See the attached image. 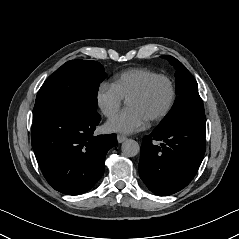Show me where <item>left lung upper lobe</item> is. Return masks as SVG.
Listing matches in <instances>:
<instances>
[{"label":"left lung upper lobe","mask_w":239,"mask_h":239,"mask_svg":"<svg viewBox=\"0 0 239 239\" xmlns=\"http://www.w3.org/2000/svg\"><path fill=\"white\" fill-rule=\"evenodd\" d=\"M167 59L176 68L177 97L169 113L155 129L166 130L182 120L188 118H205L204 106L198 93V84L186 67L176 58L166 55Z\"/></svg>","instance_id":"5c2ea615"}]
</instances>
